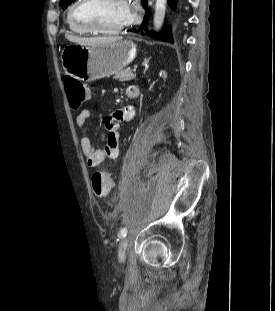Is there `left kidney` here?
<instances>
[{
	"mask_svg": "<svg viewBox=\"0 0 275 311\" xmlns=\"http://www.w3.org/2000/svg\"><path fill=\"white\" fill-rule=\"evenodd\" d=\"M158 78L160 80H165L167 78V74L165 71H161L160 74L158 75Z\"/></svg>",
	"mask_w": 275,
	"mask_h": 311,
	"instance_id": "left-kidney-1",
	"label": "left kidney"
}]
</instances>
